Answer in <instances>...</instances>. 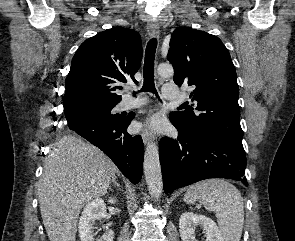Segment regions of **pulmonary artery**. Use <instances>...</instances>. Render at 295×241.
Segmentation results:
<instances>
[{
	"mask_svg": "<svg viewBox=\"0 0 295 241\" xmlns=\"http://www.w3.org/2000/svg\"><path fill=\"white\" fill-rule=\"evenodd\" d=\"M163 97L170 101H177L179 98V90L177 89L175 84H164L162 88ZM142 104H144V100H133L130 97H125L122 101V108L124 109H133L138 108Z\"/></svg>",
	"mask_w": 295,
	"mask_h": 241,
	"instance_id": "obj_1",
	"label": "pulmonary artery"
}]
</instances>
